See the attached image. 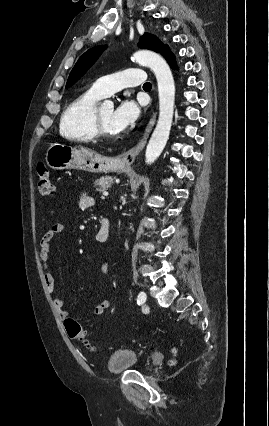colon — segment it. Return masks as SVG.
Returning <instances> with one entry per match:
<instances>
[{
	"mask_svg": "<svg viewBox=\"0 0 269 426\" xmlns=\"http://www.w3.org/2000/svg\"><path fill=\"white\" fill-rule=\"evenodd\" d=\"M37 186L40 194L44 196H50L54 193V185L51 179L50 171L44 162H39L37 165ZM65 328L68 336L71 339L80 342L88 349H94V344L86 337L81 329L79 322L76 319L72 317L66 318Z\"/></svg>",
	"mask_w": 269,
	"mask_h": 426,
	"instance_id": "5ec220e1",
	"label": "colon"
}]
</instances>
